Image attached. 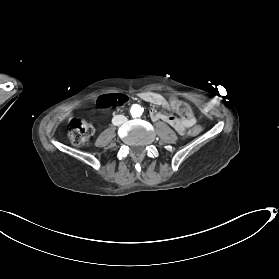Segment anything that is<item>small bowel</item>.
Masks as SVG:
<instances>
[{"label":"small bowel","instance_id":"1","mask_svg":"<svg viewBox=\"0 0 279 279\" xmlns=\"http://www.w3.org/2000/svg\"><path fill=\"white\" fill-rule=\"evenodd\" d=\"M141 98L145 101L152 103L155 106L162 107L165 109H175L179 100L176 97H170L166 99L164 96L154 93L146 92L141 94ZM150 116L153 120H162L172 126L176 132L180 135H184L186 131L195 124L194 118L179 119L173 115L163 114L157 111L155 108L151 109Z\"/></svg>","mask_w":279,"mask_h":279}]
</instances>
